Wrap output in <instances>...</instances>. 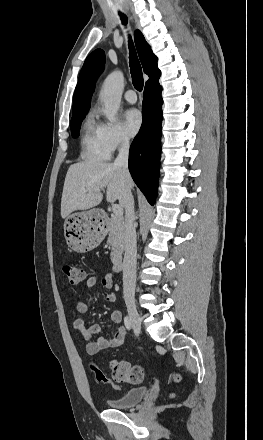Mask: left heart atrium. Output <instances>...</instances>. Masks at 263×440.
<instances>
[{
    "label": "left heart atrium",
    "instance_id": "left-heart-atrium-1",
    "mask_svg": "<svg viewBox=\"0 0 263 440\" xmlns=\"http://www.w3.org/2000/svg\"><path fill=\"white\" fill-rule=\"evenodd\" d=\"M143 118L137 109H129L124 114V128L129 136H135L140 130Z\"/></svg>",
    "mask_w": 263,
    "mask_h": 440
}]
</instances>
